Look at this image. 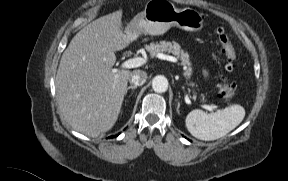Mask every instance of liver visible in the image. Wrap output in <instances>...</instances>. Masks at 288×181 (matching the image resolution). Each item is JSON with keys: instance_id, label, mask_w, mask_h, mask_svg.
Listing matches in <instances>:
<instances>
[{"instance_id": "6515ba94", "label": "liver", "mask_w": 288, "mask_h": 181, "mask_svg": "<svg viewBox=\"0 0 288 181\" xmlns=\"http://www.w3.org/2000/svg\"><path fill=\"white\" fill-rule=\"evenodd\" d=\"M122 10L100 17L71 40L56 75L57 101L70 126L87 136L109 131L120 113L131 71L113 69L115 52L135 38Z\"/></svg>"}]
</instances>
